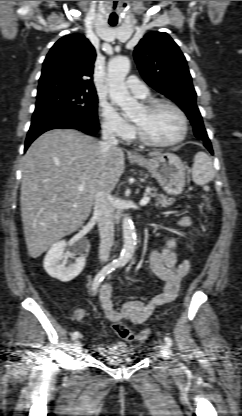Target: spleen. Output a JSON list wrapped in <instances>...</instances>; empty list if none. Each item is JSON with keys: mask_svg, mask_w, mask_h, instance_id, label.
Segmentation results:
<instances>
[{"mask_svg": "<svg viewBox=\"0 0 242 416\" xmlns=\"http://www.w3.org/2000/svg\"><path fill=\"white\" fill-rule=\"evenodd\" d=\"M215 177L212 159L205 152H198L194 157L192 179L197 185H205Z\"/></svg>", "mask_w": 242, "mask_h": 416, "instance_id": "3e777b00", "label": "spleen"}]
</instances>
